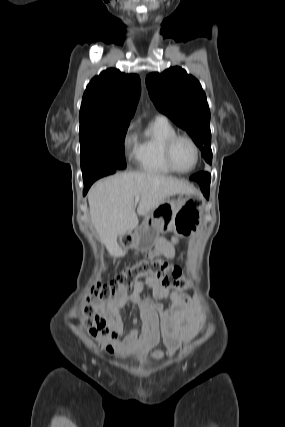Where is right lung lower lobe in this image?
<instances>
[{"label":"right lung lower lobe","mask_w":285,"mask_h":427,"mask_svg":"<svg viewBox=\"0 0 285 427\" xmlns=\"http://www.w3.org/2000/svg\"><path fill=\"white\" fill-rule=\"evenodd\" d=\"M114 172H115V169H110V170L102 171V172L98 173L97 175H95L93 177L83 179V181H84V192H83V194L85 195L87 193V191L90 188L91 184L95 180H97V179H99V178H101L103 176L113 174Z\"/></svg>","instance_id":"98d812e1"}]
</instances>
